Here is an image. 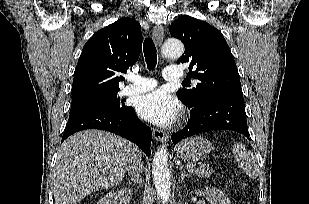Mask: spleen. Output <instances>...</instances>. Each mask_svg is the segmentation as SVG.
<instances>
[{
  "label": "spleen",
  "mask_w": 309,
  "mask_h": 204,
  "mask_svg": "<svg viewBox=\"0 0 309 204\" xmlns=\"http://www.w3.org/2000/svg\"><path fill=\"white\" fill-rule=\"evenodd\" d=\"M233 155L240 168H242L246 175L251 179H255L259 175V167L252 151L239 142L233 145Z\"/></svg>",
  "instance_id": "spleen-1"
}]
</instances>
